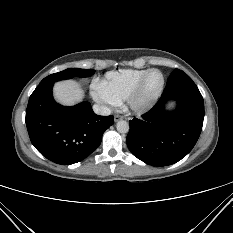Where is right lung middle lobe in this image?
I'll list each match as a JSON object with an SVG mask.
<instances>
[{
	"mask_svg": "<svg viewBox=\"0 0 233 233\" xmlns=\"http://www.w3.org/2000/svg\"><path fill=\"white\" fill-rule=\"evenodd\" d=\"M95 70L90 69H79V68H69L64 71L51 74L54 77H60L63 79H70L73 77H89L93 75Z\"/></svg>",
	"mask_w": 233,
	"mask_h": 233,
	"instance_id": "dd1d6c3e",
	"label": "right lung middle lobe"
}]
</instances>
